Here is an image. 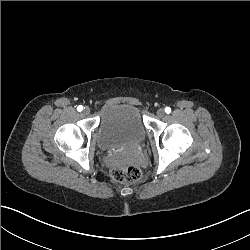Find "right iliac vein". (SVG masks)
Here are the masks:
<instances>
[{
  "label": "right iliac vein",
  "mask_w": 250,
  "mask_h": 250,
  "mask_svg": "<svg viewBox=\"0 0 250 250\" xmlns=\"http://www.w3.org/2000/svg\"><path fill=\"white\" fill-rule=\"evenodd\" d=\"M89 113H90V108L89 107H84L83 114L84 115H89Z\"/></svg>",
  "instance_id": "obj_1"
}]
</instances>
